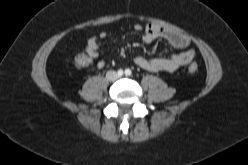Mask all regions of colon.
Returning a JSON list of instances; mask_svg holds the SVG:
<instances>
[{
    "label": "colon",
    "mask_w": 248,
    "mask_h": 165,
    "mask_svg": "<svg viewBox=\"0 0 248 165\" xmlns=\"http://www.w3.org/2000/svg\"><path fill=\"white\" fill-rule=\"evenodd\" d=\"M91 64V58L86 54H77L75 57V65L77 68L83 69L87 68ZM198 70V65L196 63H192L188 67V71L190 73H195Z\"/></svg>",
    "instance_id": "colon-1"
}]
</instances>
